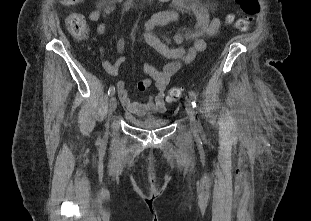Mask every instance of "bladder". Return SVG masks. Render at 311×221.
<instances>
[{"label":"bladder","instance_id":"31cf9c89","mask_svg":"<svg viewBox=\"0 0 311 221\" xmlns=\"http://www.w3.org/2000/svg\"><path fill=\"white\" fill-rule=\"evenodd\" d=\"M126 118H131L132 123L145 130H156L165 128L169 123V118H163L158 115L146 114L142 118H136L132 114L124 112Z\"/></svg>","mask_w":311,"mask_h":221}]
</instances>
